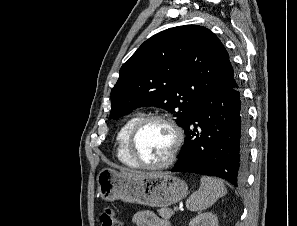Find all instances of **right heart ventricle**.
<instances>
[{"mask_svg": "<svg viewBox=\"0 0 297 226\" xmlns=\"http://www.w3.org/2000/svg\"><path fill=\"white\" fill-rule=\"evenodd\" d=\"M142 116H143L142 113H136L128 117L123 122V124L119 128L116 135V144H117L116 156L122 164L131 168H137L138 166L135 164V162L133 161V159L130 157L128 153L127 140H128V136L131 128Z\"/></svg>", "mask_w": 297, "mask_h": 226, "instance_id": "right-heart-ventricle-1", "label": "right heart ventricle"}]
</instances>
